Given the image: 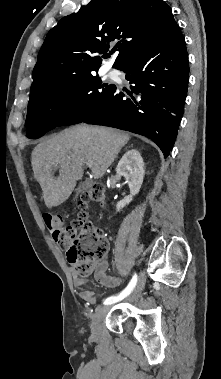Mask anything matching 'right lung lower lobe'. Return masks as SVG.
<instances>
[{"instance_id": "1", "label": "right lung lower lobe", "mask_w": 221, "mask_h": 379, "mask_svg": "<svg viewBox=\"0 0 221 379\" xmlns=\"http://www.w3.org/2000/svg\"><path fill=\"white\" fill-rule=\"evenodd\" d=\"M130 90L115 85L86 116L72 121L115 127L146 136L168 157L175 142L188 88L185 39L177 25L157 41L124 59ZM71 125V124H70Z\"/></svg>"}]
</instances>
